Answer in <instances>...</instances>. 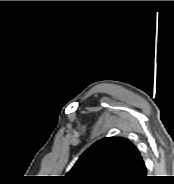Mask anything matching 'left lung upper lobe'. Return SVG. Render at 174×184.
<instances>
[{"label": "left lung upper lobe", "instance_id": "obj_1", "mask_svg": "<svg viewBox=\"0 0 174 184\" xmlns=\"http://www.w3.org/2000/svg\"><path fill=\"white\" fill-rule=\"evenodd\" d=\"M123 137H107L88 148L66 175L71 184H127L139 157Z\"/></svg>", "mask_w": 174, "mask_h": 184}]
</instances>
